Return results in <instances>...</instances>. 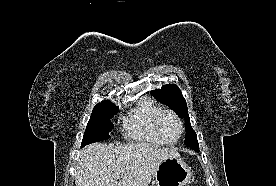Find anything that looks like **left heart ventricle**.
I'll return each instance as SVG.
<instances>
[{
	"label": "left heart ventricle",
	"mask_w": 276,
	"mask_h": 186,
	"mask_svg": "<svg viewBox=\"0 0 276 186\" xmlns=\"http://www.w3.org/2000/svg\"><path fill=\"white\" fill-rule=\"evenodd\" d=\"M161 128L166 138L170 141L176 140L180 134L179 126L171 116H166L162 119Z\"/></svg>",
	"instance_id": "1"
}]
</instances>
